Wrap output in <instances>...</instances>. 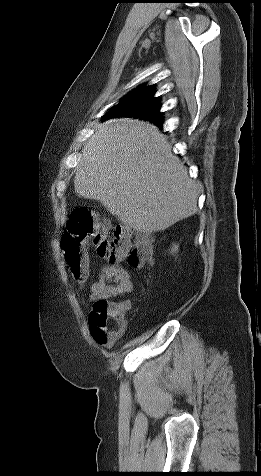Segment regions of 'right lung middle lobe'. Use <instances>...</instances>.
Instances as JSON below:
<instances>
[{
    "mask_svg": "<svg viewBox=\"0 0 261 476\" xmlns=\"http://www.w3.org/2000/svg\"><path fill=\"white\" fill-rule=\"evenodd\" d=\"M130 116L145 120H150L155 124H161L162 113H160V105L154 102H120L115 105L105 116Z\"/></svg>",
    "mask_w": 261,
    "mask_h": 476,
    "instance_id": "dd1d6c3e",
    "label": "right lung middle lobe"
}]
</instances>
